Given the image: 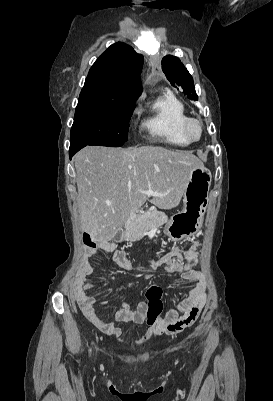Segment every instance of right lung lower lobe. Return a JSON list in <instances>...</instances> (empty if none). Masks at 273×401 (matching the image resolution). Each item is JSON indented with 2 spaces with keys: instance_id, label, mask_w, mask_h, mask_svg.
I'll list each match as a JSON object with an SVG mask.
<instances>
[{
  "instance_id": "obj_1",
  "label": "right lung lower lobe",
  "mask_w": 273,
  "mask_h": 401,
  "mask_svg": "<svg viewBox=\"0 0 273 401\" xmlns=\"http://www.w3.org/2000/svg\"><path fill=\"white\" fill-rule=\"evenodd\" d=\"M85 146H87V145L82 144V145H73V146H70V148H69V156H70V159L72 158V156H73L75 153H77L80 149H82V148L85 147Z\"/></svg>"
}]
</instances>
